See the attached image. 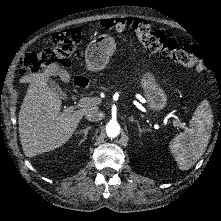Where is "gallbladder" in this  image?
I'll use <instances>...</instances> for the list:
<instances>
[{
	"instance_id": "obj_1",
	"label": "gallbladder",
	"mask_w": 221,
	"mask_h": 221,
	"mask_svg": "<svg viewBox=\"0 0 221 221\" xmlns=\"http://www.w3.org/2000/svg\"><path fill=\"white\" fill-rule=\"evenodd\" d=\"M48 87L52 92H54L58 97L64 98V93L62 92L61 88L57 84V82L53 79H49L48 81Z\"/></svg>"
}]
</instances>
